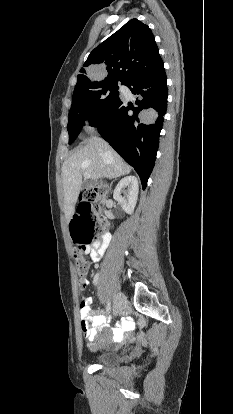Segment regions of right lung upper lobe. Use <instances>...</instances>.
<instances>
[{
  "label": "right lung upper lobe",
  "mask_w": 233,
  "mask_h": 414,
  "mask_svg": "<svg viewBox=\"0 0 233 414\" xmlns=\"http://www.w3.org/2000/svg\"><path fill=\"white\" fill-rule=\"evenodd\" d=\"M93 65H99V71L106 74L104 79L87 76ZM83 66L73 95L102 82L128 83L164 68L154 35L147 25L137 19L127 22L96 47Z\"/></svg>",
  "instance_id": "cb5924a9"
}]
</instances>
